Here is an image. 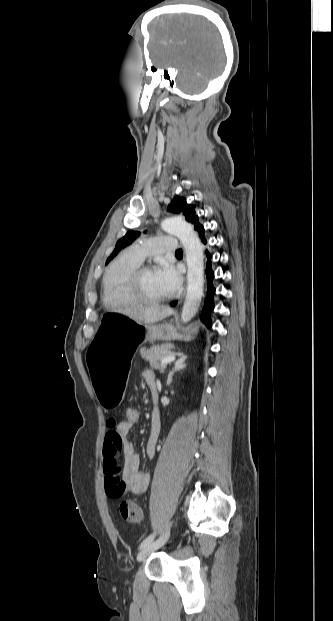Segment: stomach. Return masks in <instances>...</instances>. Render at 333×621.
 Masks as SVG:
<instances>
[{
	"label": "stomach",
	"instance_id": "stomach-1",
	"mask_svg": "<svg viewBox=\"0 0 333 621\" xmlns=\"http://www.w3.org/2000/svg\"><path fill=\"white\" fill-rule=\"evenodd\" d=\"M170 324L165 336H158L153 325L134 321L131 314L106 313L97 328V334L89 340L86 348L88 374L94 379L95 393L107 412L119 409V401L127 390V375L136 348L146 341L190 340L196 328L184 334Z\"/></svg>",
	"mask_w": 333,
	"mask_h": 621
}]
</instances>
